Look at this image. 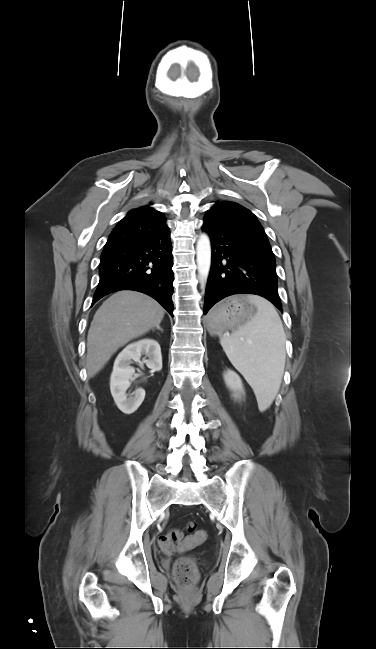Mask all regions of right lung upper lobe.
<instances>
[{"label": "right lung upper lobe", "mask_w": 376, "mask_h": 649, "mask_svg": "<svg viewBox=\"0 0 376 649\" xmlns=\"http://www.w3.org/2000/svg\"><path fill=\"white\" fill-rule=\"evenodd\" d=\"M168 227L164 216L149 206L131 210L113 229L105 247L158 233Z\"/></svg>", "instance_id": "right-lung-upper-lobe-1"}]
</instances>
